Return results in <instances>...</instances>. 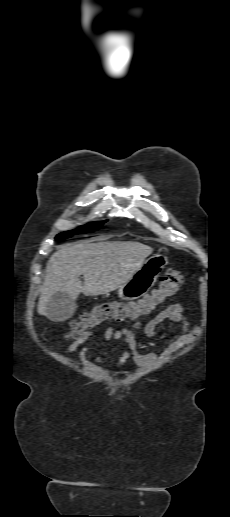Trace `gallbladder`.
Here are the masks:
<instances>
[{
	"instance_id": "gallbladder-1",
	"label": "gallbladder",
	"mask_w": 230,
	"mask_h": 517,
	"mask_svg": "<svg viewBox=\"0 0 230 517\" xmlns=\"http://www.w3.org/2000/svg\"><path fill=\"white\" fill-rule=\"evenodd\" d=\"M76 308L75 300L69 295L56 293L46 304L47 317L53 321H64L74 314Z\"/></svg>"
}]
</instances>
